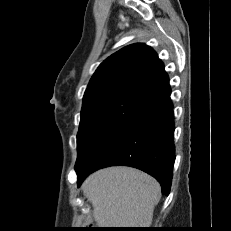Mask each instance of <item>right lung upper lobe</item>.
Listing matches in <instances>:
<instances>
[{
    "instance_id": "1",
    "label": "right lung upper lobe",
    "mask_w": 231,
    "mask_h": 231,
    "mask_svg": "<svg viewBox=\"0 0 231 231\" xmlns=\"http://www.w3.org/2000/svg\"><path fill=\"white\" fill-rule=\"evenodd\" d=\"M119 94L135 96L147 103L171 94L164 64L151 47L132 44L103 61L85 91L83 107L98 98Z\"/></svg>"
}]
</instances>
